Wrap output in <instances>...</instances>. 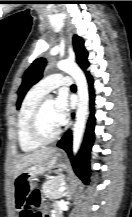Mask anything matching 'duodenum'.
Instances as JSON below:
<instances>
[{
  "mask_svg": "<svg viewBox=\"0 0 132 217\" xmlns=\"http://www.w3.org/2000/svg\"><path fill=\"white\" fill-rule=\"evenodd\" d=\"M54 217H60V215H59V214H56Z\"/></svg>",
  "mask_w": 132,
  "mask_h": 217,
  "instance_id": "duodenum-1",
  "label": "duodenum"
}]
</instances>
